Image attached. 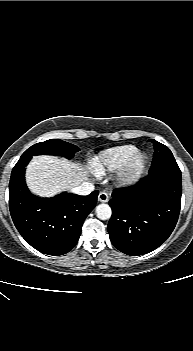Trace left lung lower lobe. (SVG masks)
<instances>
[{"mask_svg": "<svg viewBox=\"0 0 193 351\" xmlns=\"http://www.w3.org/2000/svg\"><path fill=\"white\" fill-rule=\"evenodd\" d=\"M181 180L179 167H170L149 174L128 190L112 193L108 232L118 250L143 255L170 236L180 212Z\"/></svg>", "mask_w": 193, "mask_h": 351, "instance_id": "0a47b994", "label": "left lung lower lobe"}]
</instances>
